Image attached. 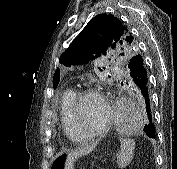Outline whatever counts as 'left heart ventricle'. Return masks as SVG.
Instances as JSON below:
<instances>
[{
	"label": "left heart ventricle",
	"instance_id": "b2bd125f",
	"mask_svg": "<svg viewBox=\"0 0 177 169\" xmlns=\"http://www.w3.org/2000/svg\"><path fill=\"white\" fill-rule=\"evenodd\" d=\"M106 109L100 99L89 96L83 99L78 110V133L87 135L102 127Z\"/></svg>",
	"mask_w": 177,
	"mask_h": 169
}]
</instances>
